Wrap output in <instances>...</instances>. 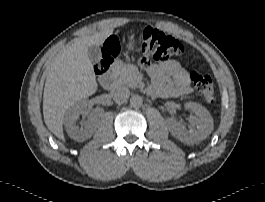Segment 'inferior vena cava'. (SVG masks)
<instances>
[{"mask_svg": "<svg viewBox=\"0 0 265 202\" xmlns=\"http://www.w3.org/2000/svg\"><path fill=\"white\" fill-rule=\"evenodd\" d=\"M110 94L117 104H122L128 100L130 96V91L127 87L117 84L113 86Z\"/></svg>", "mask_w": 265, "mask_h": 202, "instance_id": "602c4592", "label": "inferior vena cava"}]
</instances>
